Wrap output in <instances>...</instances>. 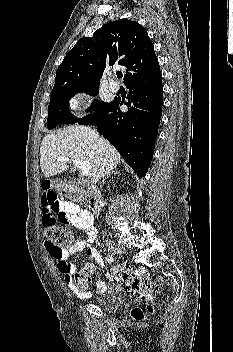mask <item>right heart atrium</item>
Instances as JSON below:
<instances>
[{"instance_id": "1", "label": "right heart atrium", "mask_w": 233, "mask_h": 352, "mask_svg": "<svg viewBox=\"0 0 233 352\" xmlns=\"http://www.w3.org/2000/svg\"><path fill=\"white\" fill-rule=\"evenodd\" d=\"M69 103L72 110H76L80 106V100L77 97L72 98Z\"/></svg>"}]
</instances>
